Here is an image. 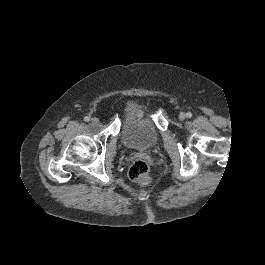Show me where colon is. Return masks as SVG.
I'll list each match as a JSON object with an SVG mask.
<instances>
[{"label": "colon", "mask_w": 265, "mask_h": 265, "mask_svg": "<svg viewBox=\"0 0 265 265\" xmlns=\"http://www.w3.org/2000/svg\"><path fill=\"white\" fill-rule=\"evenodd\" d=\"M128 175L131 180L141 186H148L151 183L150 167L144 160H136L129 168Z\"/></svg>", "instance_id": "colon-1"}]
</instances>
